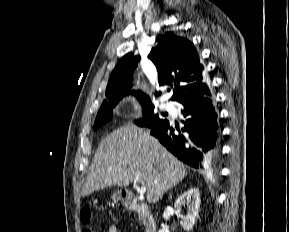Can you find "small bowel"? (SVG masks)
Here are the masks:
<instances>
[{
	"label": "small bowel",
	"mask_w": 289,
	"mask_h": 232,
	"mask_svg": "<svg viewBox=\"0 0 289 232\" xmlns=\"http://www.w3.org/2000/svg\"><path fill=\"white\" fill-rule=\"evenodd\" d=\"M108 232H117V229H116V227L111 226V227H109Z\"/></svg>",
	"instance_id": "c3829d8e"
}]
</instances>
